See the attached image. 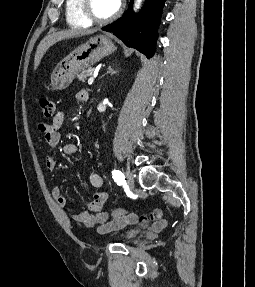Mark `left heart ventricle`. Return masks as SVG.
I'll return each instance as SVG.
<instances>
[{
  "label": "left heart ventricle",
  "instance_id": "obj_1",
  "mask_svg": "<svg viewBox=\"0 0 255 287\" xmlns=\"http://www.w3.org/2000/svg\"><path fill=\"white\" fill-rule=\"evenodd\" d=\"M96 33H123V32H96ZM95 39H125V38H95ZM91 48H132V47H91Z\"/></svg>",
  "mask_w": 255,
  "mask_h": 287
}]
</instances>
